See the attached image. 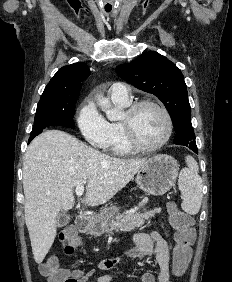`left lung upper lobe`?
Returning a JSON list of instances; mask_svg holds the SVG:
<instances>
[{
	"mask_svg": "<svg viewBox=\"0 0 232 282\" xmlns=\"http://www.w3.org/2000/svg\"><path fill=\"white\" fill-rule=\"evenodd\" d=\"M116 72L136 88L157 96L173 120L176 140L183 145H196L187 86L173 62L157 52H148L117 66Z\"/></svg>",
	"mask_w": 232,
	"mask_h": 282,
	"instance_id": "left-lung-upper-lobe-1",
	"label": "left lung upper lobe"
}]
</instances>
